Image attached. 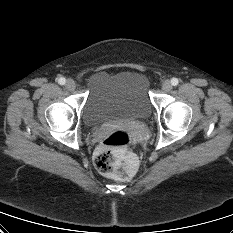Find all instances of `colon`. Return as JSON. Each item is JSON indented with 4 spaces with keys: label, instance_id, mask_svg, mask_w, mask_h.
I'll use <instances>...</instances> for the list:
<instances>
[{
    "label": "colon",
    "instance_id": "colon-1",
    "mask_svg": "<svg viewBox=\"0 0 233 233\" xmlns=\"http://www.w3.org/2000/svg\"><path fill=\"white\" fill-rule=\"evenodd\" d=\"M131 135L122 129L109 133L96 150L94 163L102 174L119 179L130 178L135 169V161L129 155Z\"/></svg>",
    "mask_w": 233,
    "mask_h": 233
}]
</instances>
